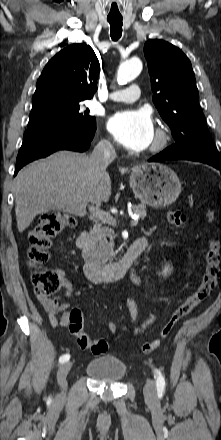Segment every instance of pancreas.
<instances>
[{"mask_svg": "<svg viewBox=\"0 0 221 440\" xmlns=\"http://www.w3.org/2000/svg\"><path fill=\"white\" fill-rule=\"evenodd\" d=\"M132 211L142 218L146 216V206L144 204H139L132 207ZM91 242L87 246V248L83 251V257L87 259L89 254H93L96 257L102 254V251L99 247V243L106 245L107 247V259H110L114 256V252L112 250L113 241L108 243L107 237L112 238L114 235L113 231L109 227L101 226L100 224H95L93 229L90 231Z\"/></svg>", "mask_w": 221, "mask_h": 440, "instance_id": "pancreas-1", "label": "pancreas"}]
</instances>
